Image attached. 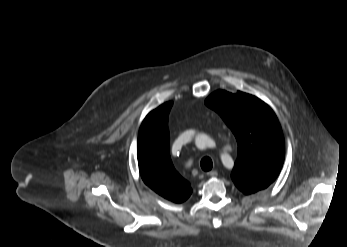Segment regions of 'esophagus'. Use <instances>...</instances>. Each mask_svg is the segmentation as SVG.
<instances>
[{"label": "esophagus", "instance_id": "esophagus-1", "mask_svg": "<svg viewBox=\"0 0 347 247\" xmlns=\"http://www.w3.org/2000/svg\"><path fill=\"white\" fill-rule=\"evenodd\" d=\"M217 171H215V170H212V171H209V172H207V175L209 176V177H215V176H217Z\"/></svg>", "mask_w": 347, "mask_h": 247}]
</instances>
